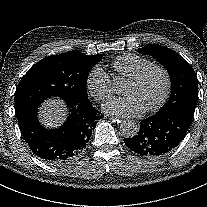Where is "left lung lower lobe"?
<instances>
[{
  "label": "left lung lower lobe",
  "instance_id": "obj_1",
  "mask_svg": "<svg viewBox=\"0 0 207 207\" xmlns=\"http://www.w3.org/2000/svg\"><path fill=\"white\" fill-rule=\"evenodd\" d=\"M191 122L192 118L180 111L156 113L142 120L138 134L124 142L146 158L164 156L184 139Z\"/></svg>",
  "mask_w": 207,
  "mask_h": 207
}]
</instances>
